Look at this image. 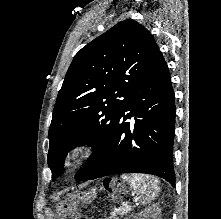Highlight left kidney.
<instances>
[{
    "instance_id": "5707ae66",
    "label": "left kidney",
    "mask_w": 221,
    "mask_h": 219,
    "mask_svg": "<svg viewBox=\"0 0 221 219\" xmlns=\"http://www.w3.org/2000/svg\"><path fill=\"white\" fill-rule=\"evenodd\" d=\"M161 210L158 206H153L135 216V219H160Z\"/></svg>"
}]
</instances>
